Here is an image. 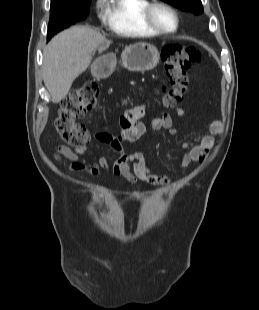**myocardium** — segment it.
<instances>
[{"label": "myocardium", "mask_w": 259, "mask_h": 310, "mask_svg": "<svg viewBox=\"0 0 259 310\" xmlns=\"http://www.w3.org/2000/svg\"><path fill=\"white\" fill-rule=\"evenodd\" d=\"M157 8H163L169 11L173 15L175 19V27L173 29L171 30L164 29L156 23V21L154 20L153 14H154L155 9ZM143 21L151 30L155 31L156 33L160 35L173 34L179 29V26H180V18H179V15L176 9L173 8L171 5L164 3V2H160V1L150 2L145 7L143 11Z\"/></svg>", "instance_id": "1"}]
</instances>
